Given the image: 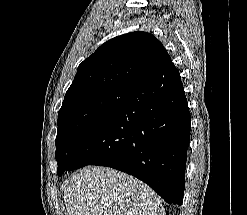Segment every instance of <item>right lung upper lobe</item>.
Wrapping results in <instances>:
<instances>
[{
    "label": "right lung upper lobe",
    "mask_w": 247,
    "mask_h": 215,
    "mask_svg": "<svg viewBox=\"0 0 247 215\" xmlns=\"http://www.w3.org/2000/svg\"><path fill=\"white\" fill-rule=\"evenodd\" d=\"M168 58L166 49L152 34L138 31L115 37L79 65L66 94L91 88L133 90Z\"/></svg>",
    "instance_id": "obj_1"
}]
</instances>
